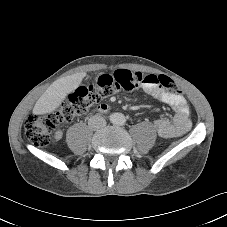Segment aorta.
Here are the masks:
<instances>
[{"mask_svg":"<svg viewBox=\"0 0 227 227\" xmlns=\"http://www.w3.org/2000/svg\"><path fill=\"white\" fill-rule=\"evenodd\" d=\"M110 121L114 125H124L126 122V118H125L124 114H122V113H113L110 116Z\"/></svg>","mask_w":227,"mask_h":227,"instance_id":"1","label":"aorta"}]
</instances>
